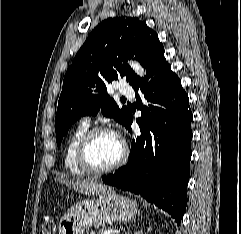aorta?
<instances>
[{"label": "aorta", "instance_id": "762f6f07", "mask_svg": "<svg viewBox=\"0 0 241 234\" xmlns=\"http://www.w3.org/2000/svg\"><path fill=\"white\" fill-rule=\"evenodd\" d=\"M129 64L138 75L142 76L145 74L144 69L141 67V65L138 62L130 61Z\"/></svg>", "mask_w": 241, "mask_h": 234}]
</instances>
